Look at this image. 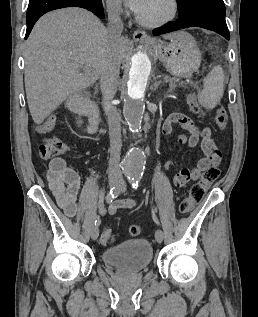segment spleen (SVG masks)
Instances as JSON below:
<instances>
[{
    "instance_id": "1",
    "label": "spleen",
    "mask_w": 258,
    "mask_h": 317,
    "mask_svg": "<svg viewBox=\"0 0 258 317\" xmlns=\"http://www.w3.org/2000/svg\"><path fill=\"white\" fill-rule=\"evenodd\" d=\"M224 92V72L222 66H214L204 78V88L198 92V102L205 108H215Z\"/></svg>"
}]
</instances>
